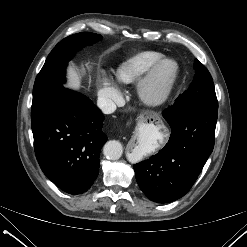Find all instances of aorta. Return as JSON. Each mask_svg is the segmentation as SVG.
Listing matches in <instances>:
<instances>
[{
    "label": "aorta",
    "instance_id": "obj_1",
    "mask_svg": "<svg viewBox=\"0 0 247 247\" xmlns=\"http://www.w3.org/2000/svg\"><path fill=\"white\" fill-rule=\"evenodd\" d=\"M103 153L109 160H118L123 153V147L116 140L108 141L103 147Z\"/></svg>",
    "mask_w": 247,
    "mask_h": 247
}]
</instances>
